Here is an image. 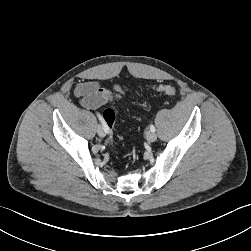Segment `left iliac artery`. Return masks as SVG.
<instances>
[{
    "mask_svg": "<svg viewBox=\"0 0 251 251\" xmlns=\"http://www.w3.org/2000/svg\"><path fill=\"white\" fill-rule=\"evenodd\" d=\"M150 130H151L152 132H155V130H156L155 127H154L152 124L150 125Z\"/></svg>",
    "mask_w": 251,
    "mask_h": 251,
    "instance_id": "1",
    "label": "left iliac artery"
}]
</instances>
